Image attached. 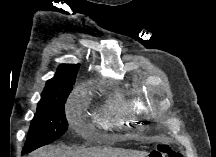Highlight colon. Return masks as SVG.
I'll return each instance as SVG.
<instances>
[{"mask_svg":"<svg viewBox=\"0 0 216 157\" xmlns=\"http://www.w3.org/2000/svg\"><path fill=\"white\" fill-rule=\"evenodd\" d=\"M149 157H181V155L168 145L162 144L155 148Z\"/></svg>","mask_w":216,"mask_h":157,"instance_id":"colon-1","label":"colon"}]
</instances>
